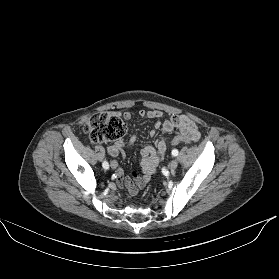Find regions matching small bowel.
<instances>
[{"mask_svg":"<svg viewBox=\"0 0 279 279\" xmlns=\"http://www.w3.org/2000/svg\"><path fill=\"white\" fill-rule=\"evenodd\" d=\"M121 116L125 120L132 118L130 111H124ZM139 116L142 118L157 119L154 128L150 131V135L154 136L157 130H161L163 135L156 142L155 146H147L142 150V171L141 175L131 173L125 177L123 170L118 169L116 179L118 185L126 188L130 195H136L148 183L152 174L157 171L160 162L163 160L167 149V143L175 136H181L190 141H197L200 138V132L195 122L190 120L185 115H173L169 119L162 121V112L159 110H140ZM137 140L136 135H132L127 141L117 140L108 147V152L111 156L117 157L122 154L123 149L132 146Z\"/></svg>","mask_w":279,"mask_h":279,"instance_id":"obj_1","label":"small bowel"}]
</instances>
